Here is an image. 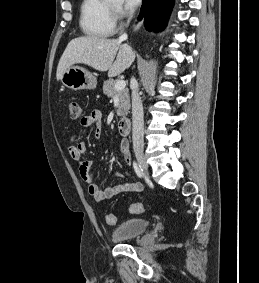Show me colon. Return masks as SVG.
Returning <instances> with one entry per match:
<instances>
[{"label":"colon","instance_id":"5ec220e1","mask_svg":"<svg viewBox=\"0 0 259 283\" xmlns=\"http://www.w3.org/2000/svg\"><path fill=\"white\" fill-rule=\"evenodd\" d=\"M68 109L70 113V117L75 120H82L84 118L83 116V110L78 102L76 101H70L68 104ZM129 211L132 214H140L144 212V206L142 203H132L129 207ZM106 222L108 225H115L116 224V218L114 214L109 213L106 215Z\"/></svg>","mask_w":259,"mask_h":283}]
</instances>
